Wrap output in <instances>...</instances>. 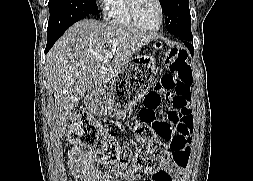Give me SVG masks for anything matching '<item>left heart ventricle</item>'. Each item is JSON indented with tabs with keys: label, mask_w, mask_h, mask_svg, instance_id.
<instances>
[{
	"label": "left heart ventricle",
	"mask_w": 253,
	"mask_h": 181,
	"mask_svg": "<svg viewBox=\"0 0 253 181\" xmlns=\"http://www.w3.org/2000/svg\"><path fill=\"white\" fill-rule=\"evenodd\" d=\"M137 15L144 26L157 27L160 21V10L156 0H138Z\"/></svg>",
	"instance_id": "b2bd125f"
}]
</instances>
